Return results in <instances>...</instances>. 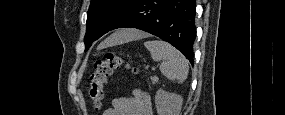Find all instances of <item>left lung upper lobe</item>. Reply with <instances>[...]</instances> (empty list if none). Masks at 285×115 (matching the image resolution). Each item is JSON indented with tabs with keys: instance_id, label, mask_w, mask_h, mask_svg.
Segmentation results:
<instances>
[{
	"instance_id": "5c2ea615",
	"label": "left lung upper lobe",
	"mask_w": 285,
	"mask_h": 115,
	"mask_svg": "<svg viewBox=\"0 0 285 115\" xmlns=\"http://www.w3.org/2000/svg\"><path fill=\"white\" fill-rule=\"evenodd\" d=\"M136 0H91L87 12V27L84 37L85 51L95 41L111 30L123 13Z\"/></svg>"
}]
</instances>
